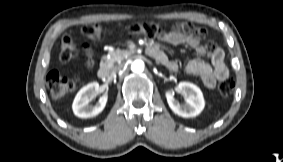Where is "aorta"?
<instances>
[{
	"label": "aorta",
	"instance_id": "obj_1",
	"mask_svg": "<svg viewBox=\"0 0 283 162\" xmlns=\"http://www.w3.org/2000/svg\"><path fill=\"white\" fill-rule=\"evenodd\" d=\"M131 70L135 73H141L144 70V62L140 59H137L132 62Z\"/></svg>",
	"mask_w": 283,
	"mask_h": 162
}]
</instances>
